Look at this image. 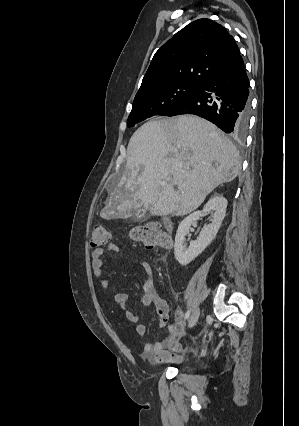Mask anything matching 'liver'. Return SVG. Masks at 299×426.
Returning <instances> with one entry per match:
<instances>
[{"label":"liver","instance_id":"obj_1","mask_svg":"<svg viewBox=\"0 0 299 426\" xmlns=\"http://www.w3.org/2000/svg\"><path fill=\"white\" fill-rule=\"evenodd\" d=\"M127 154L125 172L100 213L105 219L124 218L141 206L152 215H186L241 168L235 145L192 115L146 122L132 135Z\"/></svg>","mask_w":299,"mask_h":426}]
</instances>
